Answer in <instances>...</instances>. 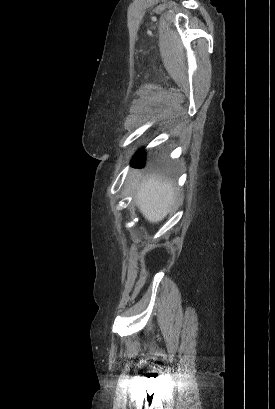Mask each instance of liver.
<instances>
[{
    "mask_svg": "<svg viewBox=\"0 0 275 409\" xmlns=\"http://www.w3.org/2000/svg\"><path fill=\"white\" fill-rule=\"evenodd\" d=\"M135 176H139V174L134 172L132 178V184L137 188L135 198L138 209L150 223L163 221L170 213L176 198L172 184L168 180L154 176V174L144 178L143 182H133L136 180Z\"/></svg>",
    "mask_w": 275,
    "mask_h": 409,
    "instance_id": "liver-1",
    "label": "liver"
}]
</instances>
